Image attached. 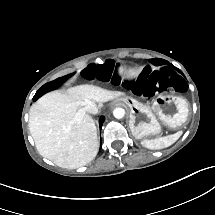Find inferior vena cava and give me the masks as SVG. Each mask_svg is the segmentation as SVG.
<instances>
[{
  "mask_svg": "<svg viewBox=\"0 0 215 215\" xmlns=\"http://www.w3.org/2000/svg\"><path fill=\"white\" fill-rule=\"evenodd\" d=\"M83 110L88 114H96L98 112V108L94 105L93 102H88V104L83 108Z\"/></svg>",
  "mask_w": 215,
  "mask_h": 215,
  "instance_id": "1",
  "label": "inferior vena cava"
}]
</instances>
